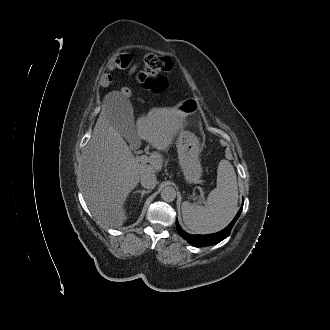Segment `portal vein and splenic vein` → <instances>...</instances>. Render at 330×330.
I'll return each instance as SVG.
<instances>
[{
  "instance_id": "obj_1",
  "label": "portal vein and splenic vein",
  "mask_w": 330,
  "mask_h": 330,
  "mask_svg": "<svg viewBox=\"0 0 330 330\" xmlns=\"http://www.w3.org/2000/svg\"><path fill=\"white\" fill-rule=\"evenodd\" d=\"M137 159L141 163H147L149 160V157L147 155H140L137 157Z\"/></svg>"
}]
</instances>
